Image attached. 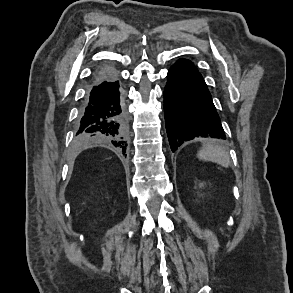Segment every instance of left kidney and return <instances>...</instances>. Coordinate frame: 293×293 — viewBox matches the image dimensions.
Returning <instances> with one entry per match:
<instances>
[{"instance_id": "1", "label": "left kidney", "mask_w": 293, "mask_h": 293, "mask_svg": "<svg viewBox=\"0 0 293 293\" xmlns=\"http://www.w3.org/2000/svg\"><path fill=\"white\" fill-rule=\"evenodd\" d=\"M199 187L200 188L204 187V184L203 183L199 184Z\"/></svg>"}]
</instances>
